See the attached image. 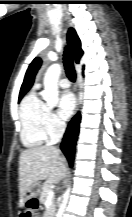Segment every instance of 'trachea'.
<instances>
[{
    "mask_svg": "<svg viewBox=\"0 0 132 217\" xmlns=\"http://www.w3.org/2000/svg\"><path fill=\"white\" fill-rule=\"evenodd\" d=\"M63 60H64V67H65V72H66L67 77L69 78L71 82H75L76 73H75L73 58L67 47L65 48V51H64Z\"/></svg>",
    "mask_w": 132,
    "mask_h": 217,
    "instance_id": "3493384b",
    "label": "trachea"
}]
</instances>
